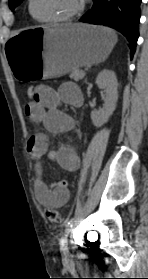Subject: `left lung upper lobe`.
Wrapping results in <instances>:
<instances>
[{
	"mask_svg": "<svg viewBox=\"0 0 148 279\" xmlns=\"http://www.w3.org/2000/svg\"><path fill=\"white\" fill-rule=\"evenodd\" d=\"M23 0H9V7L11 10H14Z\"/></svg>",
	"mask_w": 148,
	"mask_h": 279,
	"instance_id": "obj_1",
	"label": "left lung upper lobe"
}]
</instances>
